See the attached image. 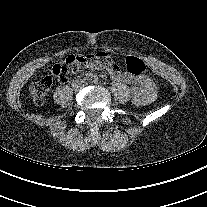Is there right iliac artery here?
<instances>
[{
	"label": "right iliac artery",
	"instance_id": "obj_1",
	"mask_svg": "<svg viewBox=\"0 0 207 207\" xmlns=\"http://www.w3.org/2000/svg\"><path fill=\"white\" fill-rule=\"evenodd\" d=\"M84 80H85V81H90V80H92V75H91V74H86Z\"/></svg>",
	"mask_w": 207,
	"mask_h": 207
}]
</instances>
